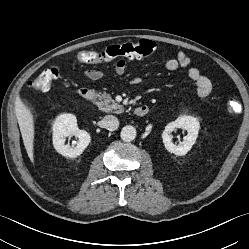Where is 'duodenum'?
Here are the masks:
<instances>
[{
    "label": "duodenum",
    "mask_w": 249,
    "mask_h": 249,
    "mask_svg": "<svg viewBox=\"0 0 249 249\" xmlns=\"http://www.w3.org/2000/svg\"><path fill=\"white\" fill-rule=\"evenodd\" d=\"M79 96L86 100V101H92L95 97V93L92 89L87 87H82L78 91ZM149 111V107L147 105H139L135 108V115L138 117L145 116Z\"/></svg>",
    "instance_id": "1"
}]
</instances>
